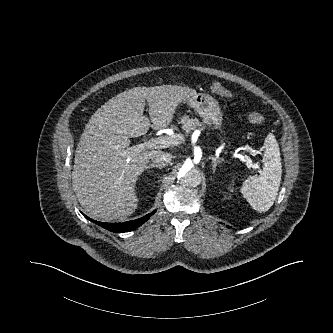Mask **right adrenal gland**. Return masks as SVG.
Masks as SVG:
<instances>
[{"label": "right adrenal gland", "mask_w": 333, "mask_h": 333, "mask_svg": "<svg viewBox=\"0 0 333 333\" xmlns=\"http://www.w3.org/2000/svg\"><path fill=\"white\" fill-rule=\"evenodd\" d=\"M164 167V165L161 164H150L149 166H146L145 169H150V168H158V169H162Z\"/></svg>", "instance_id": "1"}]
</instances>
